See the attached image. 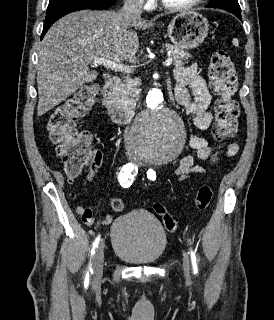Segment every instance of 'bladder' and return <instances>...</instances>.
<instances>
[{"mask_svg":"<svg viewBox=\"0 0 274 320\" xmlns=\"http://www.w3.org/2000/svg\"><path fill=\"white\" fill-rule=\"evenodd\" d=\"M114 254L135 265L158 262L167 248L163 225L149 212L134 209L117 217L111 225Z\"/></svg>","mask_w":274,"mask_h":320,"instance_id":"1","label":"bladder"}]
</instances>
